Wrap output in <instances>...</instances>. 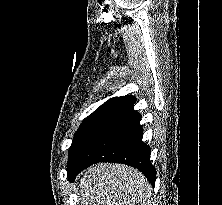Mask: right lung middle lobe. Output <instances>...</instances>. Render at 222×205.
I'll use <instances>...</instances> for the list:
<instances>
[{
  "mask_svg": "<svg viewBox=\"0 0 222 205\" xmlns=\"http://www.w3.org/2000/svg\"><path fill=\"white\" fill-rule=\"evenodd\" d=\"M107 112H94L89 115L84 122L78 128L71 147L69 149V158L67 168L72 164L76 155L80 151L82 145L88 138L89 134L93 131V129L97 126V124L105 117Z\"/></svg>",
  "mask_w": 222,
  "mask_h": 205,
  "instance_id": "obj_1",
  "label": "right lung middle lobe"
}]
</instances>
